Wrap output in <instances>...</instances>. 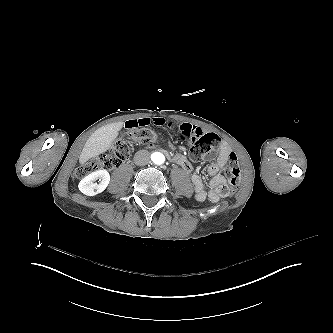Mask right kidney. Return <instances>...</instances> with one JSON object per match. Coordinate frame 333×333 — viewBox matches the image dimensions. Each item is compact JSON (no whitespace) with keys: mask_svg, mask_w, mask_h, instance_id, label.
I'll use <instances>...</instances> for the list:
<instances>
[{"mask_svg":"<svg viewBox=\"0 0 333 333\" xmlns=\"http://www.w3.org/2000/svg\"><path fill=\"white\" fill-rule=\"evenodd\" d=\"M100 179L101 183H93V181ZM110 183V174L107 170H97L85 176L78 183V189L86 196H96L102 193Z\"/></svg>","mask_w":333,"mask_h":333,"instance_id":"ca27d5eb","label":"right kidney"}]
</instances>
